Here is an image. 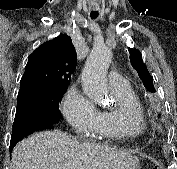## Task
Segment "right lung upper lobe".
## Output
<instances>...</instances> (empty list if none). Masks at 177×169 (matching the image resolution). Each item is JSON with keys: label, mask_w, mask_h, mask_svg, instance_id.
<instances>
[{"label": "right lung upper lobe", "mask_w": 177, "mask_h": 169, "mask_svg": "<svg viewBox=\"0 0 177 169\" xmlns=\"http://www.w3.org/2000/svg\"><path fill=\"white\" fill-rule=\"evenodd\" d=\"M76 63L75 48L69 36L60 34L43 43L29 57L18 97H48L67 90Z\"/></svg>", "instance_id": "cb5924a9"}]
</instances>
